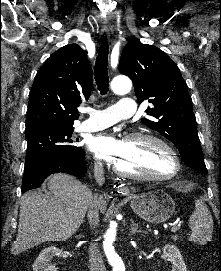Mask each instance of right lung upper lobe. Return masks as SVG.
<instances>
[{
	"label": "right lung upper lobe",
	"mask_w": 221,
	"mask_h": 271,
	"mask_svg": "<svg viewBox=\"0 0 221 271\" xmlns=\"http://www.w3.org/2000/svg\"><path fill=\"white\" fill-rule=\"evenodd\" d=\"M92 70L77 45L53 53L37 72L29 97L26 131L46 125L73 126L81 96H90Z\"/></svg>",
	"instance_id": "1"
}]
</instances>
